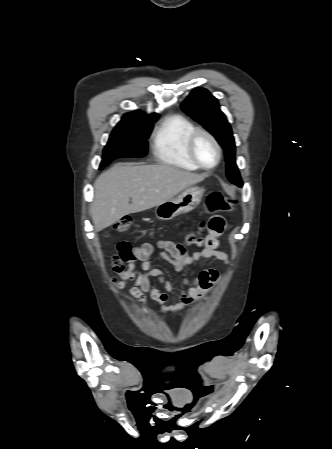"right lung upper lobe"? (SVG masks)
<instances>
[{
	"label": "right lung upper lobe",
	"instance_id": "right-lung-upper-lobe-1",
	"mask_svg": "<svg viewBox=\"0 0 332 449\" xmlns=\"http://www.w3.org/2000/svg\"><path fill=\"white\" fill-rule=\"evenodd\" d=\"M158 118V114H152L150 116H147L142 111H135L133 113L125 114L122 118V120H129V119H145V120H152Z\"/></svg>",
	"mask_w": 332,
	"mask_h": 449
}]
</instances>
